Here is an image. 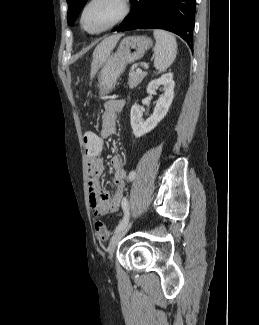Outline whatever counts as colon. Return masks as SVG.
<instances>
[{"label": "colon", "instance_id": "5ec220e1", "mask_svg": "<svg viewBox=\"0 0 259 325\" xmlns=\"http://www.w3.org/2000/svg\"><path fill=\"white\" fill-rule=\"evenodd\" d=\"M84 145L85 150L93 151L95 149H102L103 143L101 138H97L96 134L93 132H87L84 135ZM95 233L100 241H107L109 238V230L102 221H96L95 223Z\"/></svg>", "mask_w": 259, "mask_h": 325}]
</instances>
